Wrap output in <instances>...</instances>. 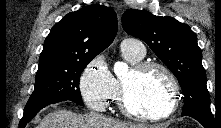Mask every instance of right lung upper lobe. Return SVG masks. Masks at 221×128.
<instances>
[{
  "mask_svg": "<svg viewBox=\"0 0 221 128\" xmlns=\"http://www.w3.org/2000/svg\"><path fill=\"white\" fill-rule=\"evenodd\" d=\"M116 33L117 16L110 7L92 4L71 12L47 36L38 70L94 58L113 42Z\"/></svg>",
  "mask_w": 221,
  "mask_h": 128,
  "instance_id": "1",
  "label": "right lung upper lobe"
}]
</instances>
